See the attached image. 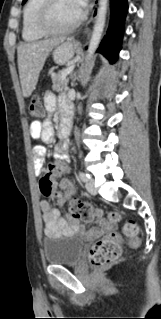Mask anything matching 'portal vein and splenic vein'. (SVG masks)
<instances>
[{"mask_svg": "<svg viewBox=\"0 0 161 319\" xmlns=\"http://www.w3.org/2000/svg\"><path fill=\"white\" fill-rule=\"evenodd\" d=\"M74 69V65H71L69 67H67L64 71H63V74H62V77L63 78H66V76L72 72V70Z\"/></svg>", "mask_w": 161, "mask_h": 319, "instance_id": "18ae733b", "label": "portal vein and splenic vein"}]
</instances>
